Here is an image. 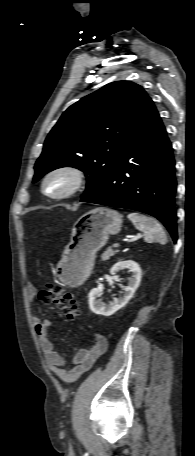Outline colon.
<instances>
[{"label": "colon", "instance_id": "obj_1", "mask_svg": "<svg viewBox=\"0 0 195 456\" xmlns=\"http://www.w3.org/2000/svg\"><path fill=\"white\" fill-rule=\"evenodd\" d=\"M43 303L56 305L69 319H73L78 313V303L73 294L60 285H47L39 293Z\"/></svg>", "mask_w": 195, "mask_h": 456}]
</instances>
